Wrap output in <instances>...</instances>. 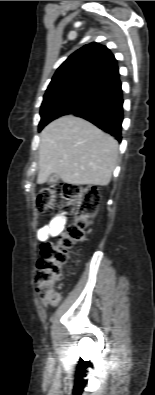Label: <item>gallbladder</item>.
I'll use <instances>...</instances> for the list:
<instances>
[{
  "mask_svg": "<svg viewBox=\"0 0 155 395\" xmlns=\"http://www.w3.org/2000/svg\"><path fill=\"white\" fill-rule=\"evenodd\" d=\"M59 176H57V175H55V174H51L49 177H48V183H50V184H53V183H57L58 181H59Z\"/></svg>",
  "mask_w": 155,
  "mask_h": 395,
  "instance_id": "obj_1",
  "label": "gallbladder"
}]
</instances>
